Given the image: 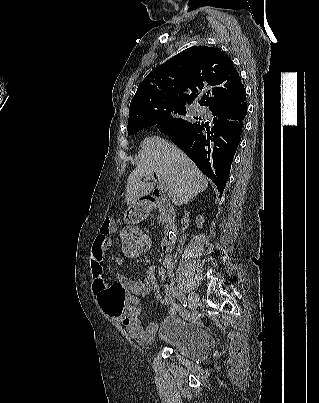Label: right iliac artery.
Listing matches in <instances>:
<instances>
[{
	"instance_id": "obj_1",
	"label": "right iliac artery",
	"mask_w": 319,
	"mask_h": 403,
	"mask_svg": "<svg viewBox=\"0 0 319 403\" xmlns=\"http://www.w3.org/2000/svg\"><path fill=\"white\" fill-rule=\"evenodd\" d=\"M172 286H173V285H172ZM172 288H173V287H172ZM173 291H174L175 296H176V297L179 299V301L181 302V304H182L184 307H187V299H186V297H185L182 293L178 292L177 289H176V287L173 288Z\"/></svg>"
}]
</instances>
